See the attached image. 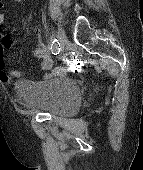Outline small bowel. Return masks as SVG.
I'll return each mask as SVG.
<instances>
[{
	"label": "small bowel",
	"mask_w": 143,
	"mask_h": 170,
	"mask_svg": "<svg viewBox=\"0 0 143 170\" xmlns=\"http://www.w3.org/2000/svg\"><path fill=\"white\" fill-rule=\"evenodd\" d=\"M19 1V0H16ZM2 6V3L0 1V7ZM5 14L0 12V81L9 84L12 81L13 77H20L22 75L21 72L17 70H10L8 71L6 69V65L3 58V52L4 48L9 46L11 44L10 38L4 33V24H5ZM39 32V30H37ZM34 58L39 60L41 63V66L45 70H49L53 66V59L51 55L49 54L44 42L42 40H38L34 52H33ZM59 72H65V69L58 70Z\"/></svg>",
	"instance_id": "1"
}]
</instances>
